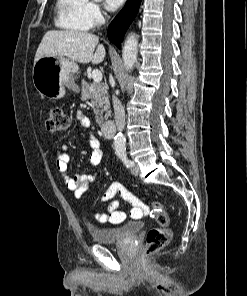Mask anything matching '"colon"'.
I'll list each match as a JSON object with an SVG mask.
<instances>
[{"label": "colon", "mask_w": 247, "mask_h": 296, "mask_svg": "<svg viewBox=\"0 0 247 296\" xmlns=\"http://www.w3.org/2000/svg\"><path fill=\"white\" fill-rule=\"evenodd\" d=\"M69 127V120L61 107H53L49 111L46 122L47 131L50 133H60L66 131ZM141 207V211L133 213L134 218L142 216L143 213L151 212L157 226L151 228L146 235L144 247L145 255L154 254L166 247L172 237V229L169 223V217L159 201H153L149 206H144L140 199L133 202Z\"/></svg>", "instance_id": "colon-1"}]
</instances>
